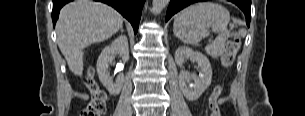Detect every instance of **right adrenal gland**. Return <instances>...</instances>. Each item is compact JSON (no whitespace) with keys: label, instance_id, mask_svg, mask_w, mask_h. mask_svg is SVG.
I'll list each match as a JSON object with an SVG mask.
<instances>
[{"label":"right adrenal gland","instance_id":"2a0ac1e0","mask_svg":"<svg viewBox=\"0 0 305 116\" xmlns=\"http://www.w3.org/2000/svg\"><path fill=\"white\" fill-rule=\"evenodd\" d=\"M121 32H123V28H121Z\"/></svg>","mask_w":305,"mask_h":116}]
</instances>
